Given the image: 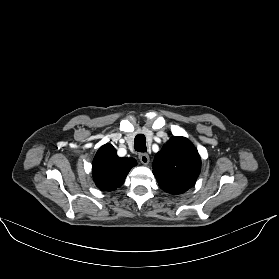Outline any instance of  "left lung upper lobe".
Listing matches in <instances>:
<instances>
[{
	"mask_svg": "<svg viewBox=\"0 0 279 279\" xmlns=\"http://www.w3.org/2000/svg\"><path fill=\"white\" fill-rule=\"evenodd\" d=\"M152 167L160 188L175 195L186 192L195 184L201 159L187 138L173 136L155 155Z\"/></svg>",
	"mask_w": 279,
	"mask_h": 279,
	"instance_id": "5c2ea615",
	"label": "left lung upper lobe"
}]
</instances>
